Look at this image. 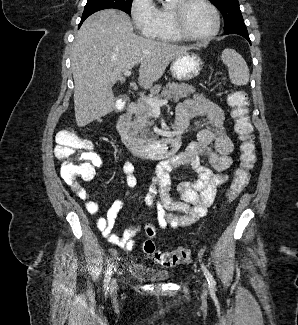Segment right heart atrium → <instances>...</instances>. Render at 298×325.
<instances>
[{
  "label": "right heart atrium",
  "instance_id": "d8ad5b80",
  "mask_svg": "<svg viewBox=\"0 0 298 325\" xmlns=\"http://www.w3.org/2000/svg\"><path fill=\"white\" fill-rule=\"evenodd\" d=\"M130 15L139 37H147L148 41H161L163 31L160 25H149L155 23V7L150 0H134Z\"/></svg>",
  "mask_w": 298,
  "mask_h": 325
}]
</instances>
